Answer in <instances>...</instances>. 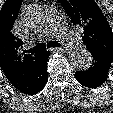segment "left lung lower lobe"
Here are the masks:
<instances>
[{
	"label": "left lung lower lobe",
	"mask_w": 113,
	"mask_h": 113,
	"mask_svg": "<svg viewBox=\"0 0 113 113\" xmlns=\"http://www.w3.org/2000/svg\"><path fill=\"white\" fill-rule=\"evenodd\" d=\"M111 63L112 60L95 55L89 69L76 71V80L85 87L97 88L106 81Z\"/></svg>",
	"instance_id": "left-lung-lower-lobe-1"
}]
</instances>
